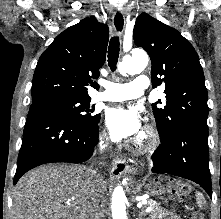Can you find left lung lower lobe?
I'll return each mask as SVG.
<instances>
[{"instance_id":"obj_1","label":"left lung lower lobe","mask_w":221,"mask_h":219,"mask_svg":"<svg viewBox=\"0 0 221 219\" xmlns=\"http://www.w3.org/2000/svg\"><path fill=\"white\" fill-rule=\"evenodd\" d=\"M161 138L152 156V172L171 174L199 184L212 198L208 129L186 124Z\"/></svg>"}]
</instances>
